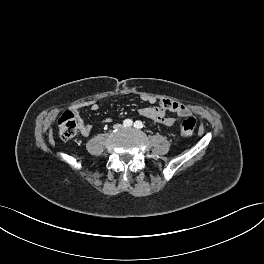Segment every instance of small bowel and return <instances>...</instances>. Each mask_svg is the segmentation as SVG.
Wrapping results in <instances>:
<instances>
[{
    "label": "small bowel",
    "mask_w": 264,
    "mask_h": 264,
    "mask_svg": "<svg viewBox=\"0 0 264 264\" xmlns=\"http://www.w3.org/2000/svg\"><path fill=\"white\" fill-rule=\"evenodd\" d=\"M143 100L148 102L149 104H154L156 102V99L151 96L143 97ZM84 106L89 107L92 111H97L99 109L98 104L93 101L86 102ZM167 111L175 112L180 116L190 115V110L187 107L168 99L161 100L158 106L142 107L139 109L138 112L141 116L149 118L155 122H158L165 126H172L175 123V118L167 116ZM76 115L78 119V128L80 130V133L85 137L89 136L92 131V125L85 123L77 110ZM109 121V118L105 119V122Z\"/></svg>",
    "instance_id": "obj_1"
}]
</instances>
